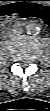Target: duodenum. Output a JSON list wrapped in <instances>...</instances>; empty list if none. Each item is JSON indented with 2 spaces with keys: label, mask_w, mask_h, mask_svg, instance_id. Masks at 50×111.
<instances>
[{
  "label": "duodenum",
  "mask_w": 50,
  "mask_h": 111,
  "mask_svg": "<svg viewBox=\"0 0 50 111\" xmlns=\"http://www.w3.org/2000/svg\"><path fill=\"white\" fill-rule=\"evenodd\" d=\"M21 26H22V24H21V23H18V24L15 26V28H21ZM10 31H11V28H9V27L4 28V29L2 30V35H3V36H7V35L10 33Z\"/></svg>",
  "instance_id": "1"
}]
</instances>
